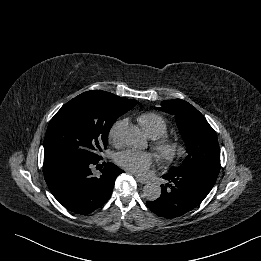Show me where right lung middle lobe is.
<instances>
[{
    "label": "right lung middle lobe",
    "instance_id": "obj_1",
    "mask_svg": "<svg viewBox=\"0 0 261 261\" xmlns=\"http://www.w3.org/2000/svg\"><path fill=\"white\" fill-rule=\"evenodd\" d=\"M136 100H102L82 93L51 119L44 139V161L64 157H99L117 118Z\"/></svg>",
    "mask_w": 261,
    "mask_h": 261
}]
</instances>
